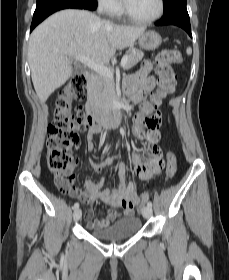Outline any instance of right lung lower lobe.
Listing matches in <instances>:
<instances>
[{
    "mask_svg": "<svg viewBox=\"0 0 229 280\" xmlns=\"http://www.w3.org/2000/svg\"><path fill=\"white\" fill-rule=\"evenodd\" d=\"M86 9L95 10L97 8L96 0H37L36 10L33 15L30 31H32L40 22L52 13L66 9Z\"/></svg>",
    "mask_w": 229,
    "mask_h": 280,
    "instance_id": "98d812e1",
    "label": "right lung lower lobe"
}]
</instances>
